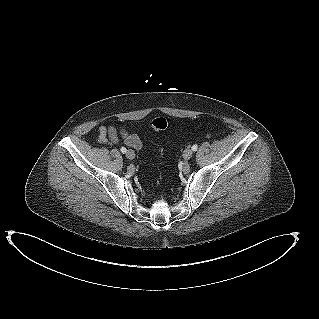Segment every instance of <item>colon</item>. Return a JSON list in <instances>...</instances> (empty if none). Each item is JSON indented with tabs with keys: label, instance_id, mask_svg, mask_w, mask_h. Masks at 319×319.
Listing matches in <instances>:
<instances>
[{
	"label": "colon",
	"instance_id": "5ec220e1",
	"mask_svg": "<svg viewBox=\"0 0 319 319\" xmlns=\"http://www.w3.org/2000/svg\"><path fill=\"white\" fill-rule=\"evenodd\" d=\"M149 126L154 131H162L167 127V121L163 117H156L149 122Z\"/></svg>",
	"mask_w": 319,
	"mask_h": 319
}]
</instances>
